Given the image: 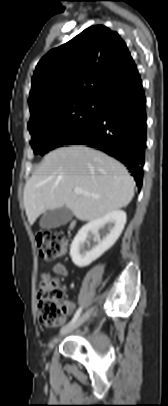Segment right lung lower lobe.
<instances>
[{
    "label": "right lung lower lobe",
    "instance_id": "right-lung-lower-lobe-1",
    "mask_svg": "<svg viewBox=\"0 0 168 406\" xmlns=\"http://www.w3.org/2000/svg\"><path fill=\"white\" fill-rule=\"evenodd\" d=\"M98 100L95 121L65 145H87L114 157L128 167L140 189L146 148L145 95L140 76Z\"/></svg>",
    "mask_w": 168,
    "mask_h": 406
}]
</instances>
